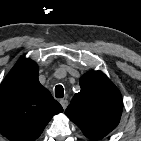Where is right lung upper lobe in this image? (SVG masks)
<instances>
[{
	"label": "right lung upper lobe",
	"instance_id": "right-lung-upper-lobe-1",
	"mask_svg": "<svg viewBox=\"0 0 141 141\" xmlns=\"http://www.w3.org/2000/svg\"><path fill=\"white\" fill-rule=\"evenodd\" d=\"M38 65L20 59L0 85V132L9 141H35L62 106L38 80Z\"/></svg>",
	"mask_w": 141,
	"mask_h": 141
}]
</instances>
